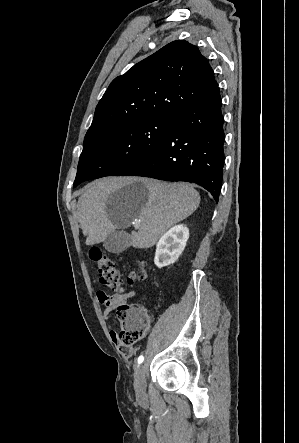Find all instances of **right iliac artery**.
Segmentation results:
<instances>
[{
	"label": "right iliac artery",
	"instance_id": "82829eb1",
	"mask_svg": "<svg viewBox=\"0 0 299 443\" xmlns=\"http://www.w3.org/2000/svg\"><path fill=\"white\" fill-rule=\"evenodd\" d=\"M144 361V357L141 355L138 357V363L141 364Z\"/></svg>",
	"mask_w": 299,
	"mask_h": 443
}]
</instances>
